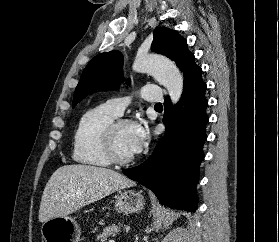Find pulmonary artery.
Wrapping results in <instances>:
<instances>
[{
	"label": "pulmonary artery",
	"instance_id": "1",
	"mask_svg": "<svg viewBox=\"0 0 279 242\" xmlns=\"http://www.w3.org/2000/svg\"><path fill=\"white\" fill-rule=\"evenodd\" d=\"M142 97L149 102H159L162 98L161 88L157 85H146L141 91ZM129 104L126 97H116L107 101L106 106L116 115L120 116Z\"/></svg>",
	"mask_w": 279,
	"mask_h": 242
}]
</instances>
